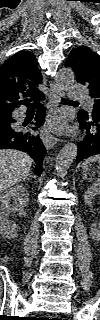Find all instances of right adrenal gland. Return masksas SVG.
Masks as SVG:
<instances>
[{
  "instance_id": "2a0ac1e0",
  "label": "right adrenal gland",
  "mask_w": 100,
  "mask_h": 320,
  "mask_svg": "<svg viewBox=\"0 0 100 320\" xmlns=\"http://www.w3.org/2000/svg\"><path fill=\"white\" fill-rule=\"evenodd\" d=\"M29 177H32V173L30 174V176ZM27 179H29V178H27Z\"/></svg>"
}]
</instances>
